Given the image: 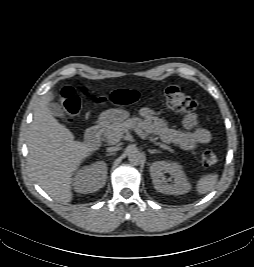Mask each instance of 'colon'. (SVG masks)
<instances>
[{
  "label": "colon",
  "instance_id": "obj_1",
  "mask_svg": "<svg viewBox=\"0 0 254 267\" xmlns=\"http://www.w3.org/2000/svg\"><path fill=\"white\" fill-rule=\"evenodd\" d=\"M162 97L166 108L175 113L191 114L197 106L191 97L176 86L165 88L162 92ZM139 99L140 94L136 90L119 89L109 96L98 98L97 103L101 105L128 106L136 103ZM60 102L69 119H73L79 113L81 107L80 99L73 87L66 86L61 90ZM200 160L203 166L211 167L218 162V157L214 152L204 150L200 155Z\"/></svg>",
  "mask_w": 254,
  "mask_h": 267
}]
</instances>
